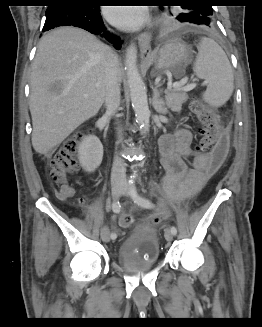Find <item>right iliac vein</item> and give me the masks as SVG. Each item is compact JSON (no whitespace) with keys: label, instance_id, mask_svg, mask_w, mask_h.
Here are the masks:
<instances>
[{"label":"right iliac vein","instance_id":"obj_1","mask_svg":"<svg viewBox=\"0 0 262 327\" xmlns=\"http://www.w3.org/2000/svg\"><path fill=\"white\" fill-rule=\"evenodd\" d=\"M122 191V182L120 180L114 181L111 186V193L114 199H117ZM101 238L104 242L110 241V231L107 227L101 229Z\"/></svg>","mask_w":262,"mask_h":327}]
</instances>
